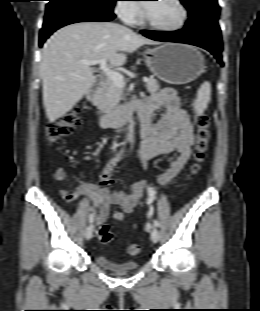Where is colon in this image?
<instances>
[{
	"mask_svg": "<svg viewBox=\"0 0 260 311\" xmlns=\"http://www.w3.org/2000/svg\"><path fill=\"white\" fill-rule=\"evenodd\" d=\"M194 122L196 126V141L194 152V163L191 165L190 172L192 175L197 174L202 163L206 159L210 140V120L209 116L203 112L194 111ZM81 124V116L78 110L67 113L59 120L50 122L46 126L45 135L48 144L53 145L61 139L69 136L71 132ZM98 236L103 244L111 243L114 234L107 224L100 226ZM140 251L138 244H131L127 248L130 255H136Z\"/></svg>",
	"mask_w": 260,
	"mask_h": 311,
	"instance_id": "5ec220e1",
	"label": "colon"
}]
</instances>
